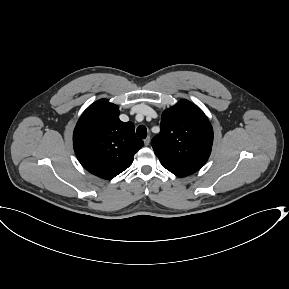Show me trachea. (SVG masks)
I'll list each match as a JSON object with an SVG mask.
<instances>
[{"label": "trachea", "instance_id": "obj_1", "mask_svg": "<svg viewBox=\"0 0 289 289\" xmlns=\"http://www.w3.org/2000/svg\"><path fill=\"white\" fill-rule=\"evenodd\" d=\"M137 136L141 139H145L147 137V129L145 126L140 125L136 130Z\"/></svg>", "mask_w": 289, "mask_h": 289}]
</instances>
